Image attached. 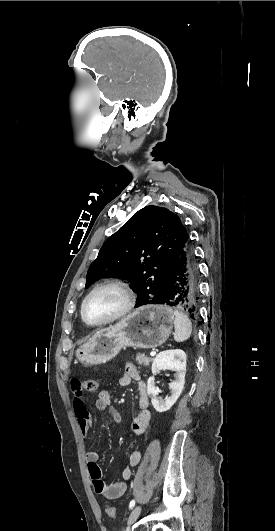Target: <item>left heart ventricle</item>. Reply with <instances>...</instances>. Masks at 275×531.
<instances>
[{
    "label": "left heart ventricle",
    "mask_w": 275,
    "mask_h": 531,
    "mask_svg": "<svg viewBox=\"0 0 275 531\" xmlns=\"http://www.w3.org/2000/svg\"><path fill=\"white\" fill-rule=\"evenodd\" d=\"M124 304L120 291L109 288L91 296L84 305V316L89 322L102 321L117 313Z\"/></svg>",
    "instance_id": "obj_1"
}]
</instances>
